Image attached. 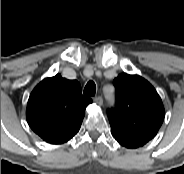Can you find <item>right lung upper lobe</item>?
<instances>
[{"mask_svg":"<svg viewBox=\"0 0 184 174\" xmlns=\"http://www.w3.org/2000/svg\"><path fill=\"white\" fill-rule=\"evenodd\" d=\"M91 103L82 95L78 81L57 74L42 80L30 94L27 122L46 142L61 144L79 131L85 109Z\"/></svg>","mask_w":184,"mask_h":174,"instance_id":"obj_1","label":"right lung upper lobe"}]
</instances>
